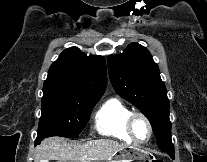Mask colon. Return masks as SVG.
Returning a JSON list of instances; mask_svg holds the SVG:
<instances>
[{"mask_svg":"<svg viewBox=\"0 0 207 162\" xmlns=\"http://www.w3.org/2000/svg\"><path fill=\"white\" fill-rule=\"evenodd\" d=\"M146 162H165L164 160H159V159H154V160H149Z\"/></svg>","mask_w":207,"mask_h":162,"instance_id":"colon-1","label":"colon"}]
</instances>
